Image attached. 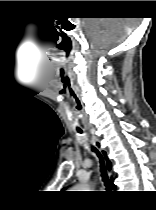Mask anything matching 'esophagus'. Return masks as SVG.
<instances>
[{
	"label": "esophagus",
	"mask_w": 156,
	"mask_h": 210,
	"mask_svg": "<svg viewBox=\"0 0 156 210\" xmlns=\"http://www.w3.org/2000/svg\"><path fill=\"white\" fill-rule=\"evenodd\" d=\"M92 142L95 145V147L100 151V154L102 155L103 159H104V163L108 172V175L111 176L112 174V160L110 159L107 150L105 149V147L99 142L98 138L93 136L92 137Z\"/></svg>",
	"instance_id": "obj_1"
}]
</instances>
